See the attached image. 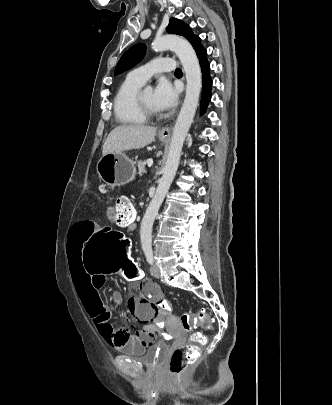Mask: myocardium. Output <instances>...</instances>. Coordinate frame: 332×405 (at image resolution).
I'll return each mask as SVG.
<instances>
[{"label": "myocardium", "mask_w": 332, "mask_h": 405, "mask_svg": "<svg viewBox=\"0 0 332 405\" xmlns=\"http://www.w3.org/2000/svg\"><path fill=\"white\" fill-rule=\"evenodd\" d=\"M136 101L140 112L147 120H151L159 116L157 111H154L153 109L148 107L146 103L143 101L142 92H138Z\"/></svg>", "instance_id": "1"}]
</instances>
